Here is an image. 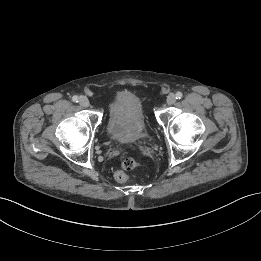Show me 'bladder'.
<instances>
[{"instance_id": "obj_1", "label": "bladder", "mask_w": 261, "mask_h": 261, "mask_svg": "<svg viewBox=\"0 0 261 261\" xmlns=\"http://www.w3.org/2000/svg\"><path fill=\"white\" fill-rule=\"evenodd\" d=\"M107 130L119 142H136L146 134L145 115L140 99L130 91L119 92L109 106Z\"/></svg>"}]
</instances>
